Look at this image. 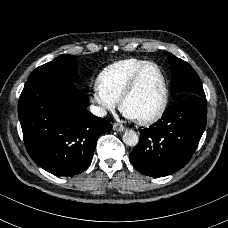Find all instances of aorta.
<instances>
[{
  "label": "aorta",
  "mask_w": 228,
  "mask_h": 228,
  "mask_svg": "<svg viewBox=\"0 0 228 228\" xmlns=\"http://www.w3.org/2000/svg\"><path fill=\"white\" fill-rule=\"evenodd\" d=\"M123 142L129 147H135L139 143V136L136 132L128 130L123 134Z\"/></svg>",
  "instance_id": "aorta-1"
}]
</instances>
